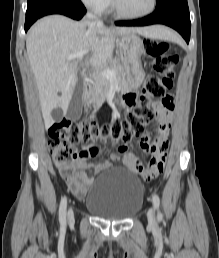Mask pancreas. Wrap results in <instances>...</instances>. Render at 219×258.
<instances>
[{
  "label": "pancreas",
  "instance_id": "obj_1",
  "mask_svg": "<svg viewBox=\"0 0 219 258\" xmlns=\"http://www.w3.org/2000/svg\"><path fill=\"white\" fill-rule=\"evenodd\" d=\"M104 70H114L115 78L120 87L126 86V73L124 67L118 62H112ZM110 87V82L107 78L103 77L101 74L95 78L94 84L91 89V96L89 102L94 106L101 105L107 96Z\"/></svg>",
  "mask_w": 219,
  "mask_h": 258
}]
</instances>
